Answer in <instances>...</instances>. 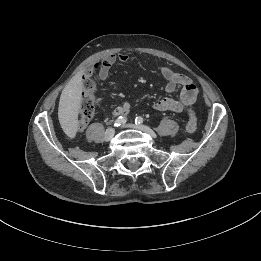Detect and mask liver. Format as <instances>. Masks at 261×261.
<instances>
[{"instance_id": "6515ba94", "label": "liver", "mask_w": 261, "mask_h": 261, "mask_svg": "<svg viewBox=\"0 0 261 261\" xmlns=\"http://www.w3.org/2000/svg\"><path fill=\"white\" fill-rule=\"evenodd\" d=\"M83 83L80 75L73 76L64 87L59 101L58 117L65 129L77 128V118L81 107Z\"/></svg>"}]
</instances>
